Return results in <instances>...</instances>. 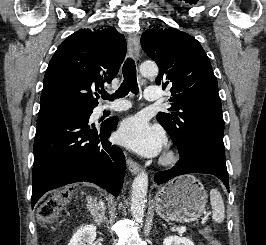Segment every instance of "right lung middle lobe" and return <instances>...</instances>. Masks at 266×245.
Instances as JSON below:
<instances>
[{
  "instance_id": "obj_1",
  "label": "right lung middle lobe",
  "mask_w": 266,
  "mask_h": 245,
  "mask_svg": "<svg viewBox=\"0 0 266 245\" xmlns=\"http://www.w3.org/2000/svg\"><path fill=\"white\" fill-rule=\"evenodd\" d=\"M92 110H93V109H86V110H80V111H76V112H72V113H78V112H92ZM69 114H71V113H69ZM43 123H45V122H39V121H37V125H36V126H39V125H41V124H43Z\"/></svg>"
}]
</instances>
